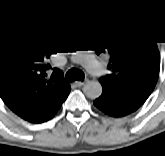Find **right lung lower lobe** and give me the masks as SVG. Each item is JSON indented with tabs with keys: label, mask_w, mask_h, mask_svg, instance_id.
<instances>
[{
	"label": "right lung lower lobe",
	"mask_w": 165,
	"mask_h": 156,
	"mask_svg": "<svg viewBox=\"0 0 165 156\" xmlns=\"http://www.w3.org/2000/svg\"><path fill=\"white\" fill-rule=\"evenodd\" d=\"M67 96L52 111H50L49 113L41 116L40 118H38V119H36L34 121H32L31 123H42V122H46V121L50 120L51 118H53L54 115L59 110V108L61 107L62 103L66 100Z\"/></svg>",
	"instance_id": "right-lung-lower-lobe-1"
}]
</instances>
